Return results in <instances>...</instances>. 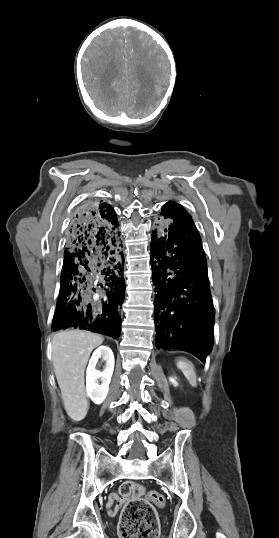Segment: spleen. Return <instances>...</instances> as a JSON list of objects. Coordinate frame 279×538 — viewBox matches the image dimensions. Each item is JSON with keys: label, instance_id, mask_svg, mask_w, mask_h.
<instances>
[{"label": "spleen", "instance_id": "3e777b00", "mask_svg": "<svg viewBox=\"0 0 279 538\" xmlns=\"http://www.w3.org/2000/svg\"><path fill=\"white\" fill-rule=\"evenodd\" d=\"M176 366L183 372L191 386H196V374L194 372L193 364H190V362H177Z\"/></svg>", "mask_w": 279, "mask_h": 538}]
</instances>
